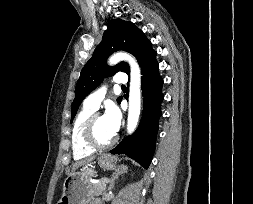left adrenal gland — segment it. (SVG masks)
I'll return each instance as SVG.
<instances>
[{
  "label": "left adrenal gland",
  "instance_id": "1",
  "mask_svg": "<svg viewBox=\"0 0 253 204\" xmlns=\"http://www.w3.org/2000/svg\"><path fill=\"white\" fill-rule=\"evenodd\" d=\"M127 171L128 167L125 165H121V167H119L115 172H113L108 189L111 190L115 185V181L120 177V175L126 173Z\"/></svg>",
  "mask_w": 253,
  "mask_h": 204
}]
</instances>
